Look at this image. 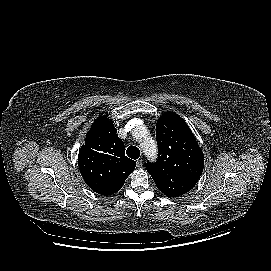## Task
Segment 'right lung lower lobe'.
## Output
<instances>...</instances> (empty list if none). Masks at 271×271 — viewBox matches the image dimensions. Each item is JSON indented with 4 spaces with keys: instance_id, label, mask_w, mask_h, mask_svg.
Masks as SVG:
<instances>
[{
    "instance_id": "98d812e1",
    "label": "right lung lower lobe",
    "mask_w": 271,
    "mask_h": 271,
    "mask_svg": "<svg viewBox=\"0 0 271 271\" xmlns=\"http://www.w3.org/2000/svg\"><path fill=\"white\" fill-rule=\"evenodd\" d=\"M92 190H94L98 194H102V192H106L108 189H103V190H101V189H92ZM102 195H104V194H102Z\"/></svg>"
}]
</instances>
